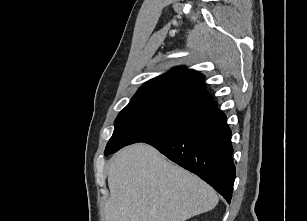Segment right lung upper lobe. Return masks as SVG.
Segmentation results:
<instances>
[{
	"label": "right lung upper lobe",
	"instance_id": "obj_1",
	"mask_svg": "<svg viewBox=\"0 0 307 221\" xmlns=\"http://www.w3.org/2000/svg\"><path fill=\"white\" fill-rule=\"evenodd\" d=\"M204 76L190 69H173L142 85L130 102L174 101L216 108L211 95L203 87Z\"/></svg>",
	"mask_w": 307,
	"mask_h": 221
}]
</instances>
